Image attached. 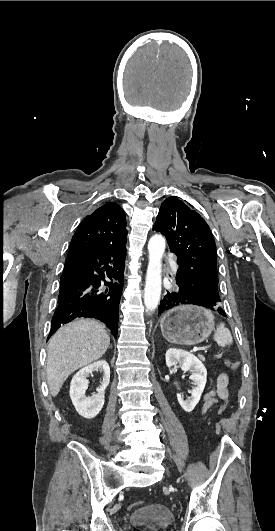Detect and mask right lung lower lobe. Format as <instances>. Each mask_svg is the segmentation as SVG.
Here are the masks:
<instances>
[{
  "mask_svg": "<svg viewBox=\"0 0 275 531\" xmlns=\"http://www.w3.org/2000/svg\"><path fill=\"white\" fill-rule=\"evenodd\" d=\"M125 245L104 246L67 257L48 339L62 324L78 317L101 320L117 336Z\"/></svg>",
  "mask_w": 275,
  "mask_h": 531,
  "instance_id": "1",
  "label": "right lung lower lobe"
}]
</instances>
